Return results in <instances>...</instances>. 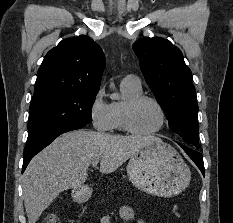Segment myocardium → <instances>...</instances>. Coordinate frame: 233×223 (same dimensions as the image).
<instances>
[{
  "instance_id": "myocardium-1",
  "label": "myocardium",
  "mask_w": 233,
  "mask_h": 223,
  "mask_svg": "<svg viewBox=\"0 0 233 223\" xmlns=\"http://www.w3.org/2000/svg\"><path fill=\"white\" fill-rule=\"evenodd\" d=\"M145 101L153 102L159 108L161 115H162L161 126L157 130L153 132H148V133L139 131L134 125L135 112L137 108ZM167 123H168V115H167L166 109L164 108V106L158 99L152 96L140 95L136 98L129 100L124 107V125H125L127 132H129L132 135H135L138 137L156 136L164 131V129L167 126Z\"/></svg>"
}]
</instances>
